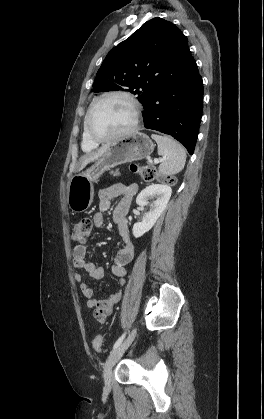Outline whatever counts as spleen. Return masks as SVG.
<instances>
[{
    "label": "spleen",
    "mask_w": 264,
    "mask_h": 419,
    "mask_svg": "<svg viewBox=\"0 0 264 419\" xmlns=\"http://www.w3.org/2000/svg\"><path fill=\"white\" fill-rule=\"evenodd\" d=\"M158 145V154L163 156L159 165V172L163 175H174L179 173L185 166L186 151L184 147L169 136H151Z\"/></svg>",
    "instance_id": "spleen-1"
}]
</instances>
